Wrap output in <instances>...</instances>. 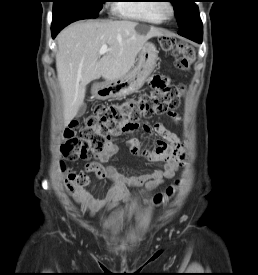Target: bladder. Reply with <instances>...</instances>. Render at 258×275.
<instances>
[{"mask_svg": "<svg viewBox=\"0 0 258 275\" xmlns=\"http://www.w3.org/2000/svg\"><path fill=\"white\" fill-rule=\"evenodd\" d=\"M129 214L140 223L145 219L142 212L137 209L120 208L112 213L106 220L104 224L105 229L113 234L121 233L125 225V220Z\"/></svg>", "mask_w": 258, "mask_h": 275, "instance_id": "31cf9c89", "label": "bladder"}]
</instances>
